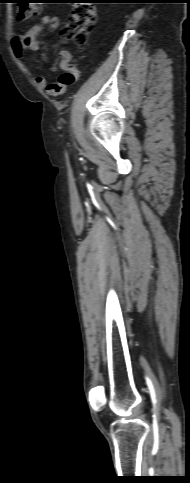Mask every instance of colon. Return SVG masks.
<instances>
[{"label": "colon", "instance_id": "1", "mask_svg": "<svg viewBox=\"0 0 190 483\" xmlns=\"http://www.w3.org/2000/svg\"><path fill=\"white\" fill-rule=\"evenodd\" d=\"M20 6L17 10V16L20 19H31L35 17L40 10V0H20ZM74 4L71 16L68 18L64 35L73 39L79 45L86 42L89 33L92 31L96 22V9L92 4L78 2ZM76 81L71 72L66 71L60 75L56 88L62 90L72 85Z\"/></svg>", "mask_w": 190, "mask_h": 483}]
</instances>
